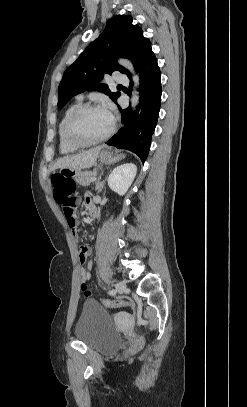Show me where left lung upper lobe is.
Returning a JSON list of instances; mask_svg holds the SVG:
<instances>
[{
  "mask_svg": "<svg viewBox=\"0 0 247 407\" xmlns=\"http://www.w3.org/2000/svg\"><path fill=\"white\" fill-rule=\"evenodd\" d=\"M130 15H116L107 22L104 32L93 41L80 57L66 70L59 85L58 107L61 109L74 95L89 91H104L116 103L120 92L110 93L99 84L104 74L129 71L117 63V58L131 59L135 69L152 51L151 42L143 36Z\"/></svg>",
  "mask_w": 247,
  "mask_h": 407,
  "instance_id": "5c2ea615",
  "label": "left lung upper lobe"
}]
</instances>
